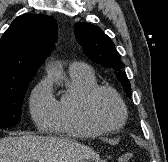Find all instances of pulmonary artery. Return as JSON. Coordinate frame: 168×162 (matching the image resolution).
Here are the masks:
<instances>
[{
  "label": "pulmonary artery",
  "mask_w": 168,
  "mask_h": 162,
  "mask_svg": "<svg viewBox=\"0 0 168 162\" xmlns=\"http://www.w3.org/2000/svg\"><path fill=\"white\" fill-rule=\"evenodd\" d=\"M70 71H79V72H87L91 70L87 65L80 63V62H74L69 67Z\"/></svg>",
  "instance_id": "e3ab8cb5"
}]
</instances>
